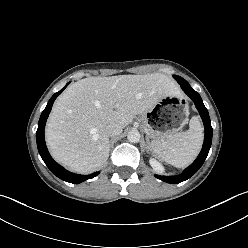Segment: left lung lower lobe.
I'll return each instance as SVG.
<instances>
[{"mask_svg":"<svg viewBox=\"0 0 248 248\" xmlns=\"http://www.w3.org/2000/svg\"><path fill=\"white\" fill-rule=\"evenodd\" d=\"M181 88L183 91L193 100V102L196 105L197 110L200 113V116L203 120L204 123V128H205V137H204V143L202 150L196 160L189 166L187 167L183 173L179 176H160V175H155L158 179H161L162 181L175 184V183H180L182 181H185L189 179L191 176H193L199 168L202 166L204 163L209 149L211 147V142H212V127H211V122H210V117L208 114V111L206 107L203 104V101L195 90H193L190 85H181Z\"/></svg>","mask_w":248,"mask_h":248,"instance_id":"1","label":"left lung lower lobe"}]
</instances>
